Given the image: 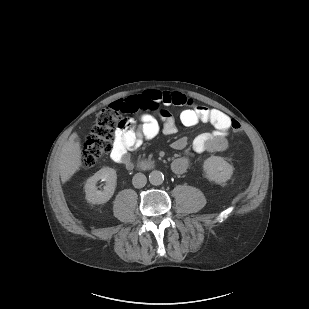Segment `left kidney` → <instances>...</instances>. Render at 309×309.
<instances>
[{
    "mask_svg": "<svg viewBox=\"0 0 309 309\" xmlns=\"http://www.w3.org/2000/svg\"><path fill=\"white\" fill-rule=\"evenodd\" d=\"M206 177L217 184L228 181L233 174V167L222 157L211 156L204 161Z\"/></svg>",
    "mask_w": 309,
    "mask_h": 309,
    "instance_id": "1",
    "label": "left kidney"
}]
</instances>
